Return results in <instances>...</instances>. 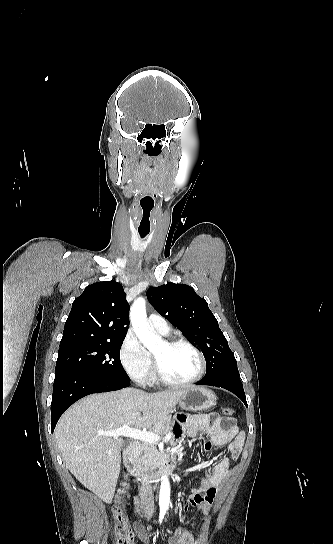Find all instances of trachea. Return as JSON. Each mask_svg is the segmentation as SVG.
<instances>
[{"label":"trachea","mask_w":333,"mask_h":544,"mask_svg":"<svg viewBox=\"0 0 333 544\" xmlns=\"http://www.w3.org/2000/svg\"><path fill=\"white\" fill-rule=\"evenodd\" d=\"M140 236L144 238L148 233L139 232Z\"/></svg>","instance_id":"1"}]
</instances>
